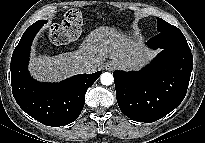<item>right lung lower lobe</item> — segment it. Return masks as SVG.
<instances>
[{
    "label": "right lung lower lobe",
    "instance_id": "1",
    "mask_svg": "<svg viewBox=\"0 0 205 143\" xmlns=\"http://www.w3.org/2000/svg\"><path fill=\"white\" fill-rule=\"evenodd\" d=\"M46 23V20H39L22 35L11 58V85L13 96L22 110L44 125L59 127L78 118L85 104L86 91L101 71L79 74L53 84L31 78L27 70L31 43Z\"/></svg>",
    "mask_w": 205,
    "mask_h": 143
}]
</instances>
